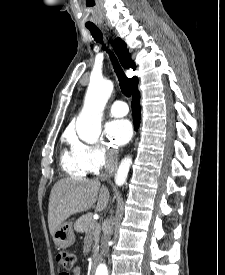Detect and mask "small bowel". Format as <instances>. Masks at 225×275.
Wrapping results in <instances>:
<instances>
[{"mask_svg": "<svg viewBox=\"0 0 225 275\" xmlns=\"http://www.w3.org/2000/svg\"><path fill=\"white\" fill-rule=\"evenodd\" d=\"M68 275H81L80 269L78 267H75L72 269L71 273Z\"/></svg>", "mask_w": 225, "mask_h": 275, "instance_id": "c3829d8e", "label": "small bowel"}]
</instances>
